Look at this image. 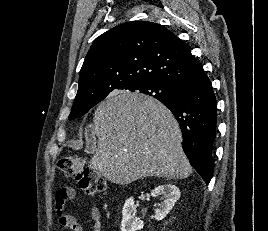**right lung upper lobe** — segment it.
<instances>
[{"instance_id":"cb5924a9","label":"right lung upper lobe","mask_w":268,"mask_h":231,"mask_svg":"<svg viewBox=\"0 0 268 231\" xmlns=\"http://www.w3.org/2000/svg\"><path fill=\"white\" fill-rule=\"evenodd\" d=\"M203 73L202 65L174 33L153 22H127L100 35L91 45L74 104L100 102L114 90L144 83L175 88Z\"/></svg>"}]
</instances>
